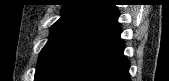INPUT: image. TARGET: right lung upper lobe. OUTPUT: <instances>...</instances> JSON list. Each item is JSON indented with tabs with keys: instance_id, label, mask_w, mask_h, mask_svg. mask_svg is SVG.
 Returning a JSON list of instances; mask_svg holds the SVG:
<instances>
[{
	"instance_id": "right-lung-upper-lobe-1",
	"label": "right lung upper lobe",
	"mask_w": 169,
	"mask_h": 81,
	"mask_svg": "<svg viewBox=\"0 0 169 81\" xmlns=\"http://www.w3.org/2000/svg\"><path fill=\"white\" fill-rule=\"evenodd\" d=\"M115 10V5L106 3V0H69L63 5L60 19L78 18L91 22Z\"/></svg>"
}]
</instances>
